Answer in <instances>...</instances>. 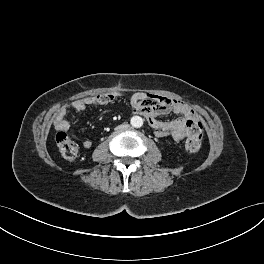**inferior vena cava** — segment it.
I'll return each mask as SVG.
<instances>
[{"instance_id": "1", "label": "inferior vena cava", "mask_w": 264, "mask_h": 264, "mask_svg": "<svg viewBox=\"0 0 264 264\" xmlns=\"http://www.w3.org/2000/svg\"><path fill=\"white\" fill-rule=\"evenodd\" d=\"M117 130H124V129H128V128H131V123H121V124H119V125H117L116 127H115Z\"/></svg>"}]
</instances>
